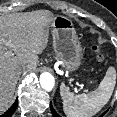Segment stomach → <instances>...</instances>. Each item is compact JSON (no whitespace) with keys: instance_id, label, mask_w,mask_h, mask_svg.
<instances>
[{"instance_id":"obj_1","label":"stomach","mask_w":117,"mask_h":117,"mask_svg":"<svg viewBox=\"0 0 117 117\" xmlns=\"http://www.w3.org/2000/svg\"><path fill=\"white\" fill-rule=\"evenodd\" d=\"M50 26L55 58L65 69L77 70L81 63L82 48L72 20L62 15H54Z\"/></svg>"}]
</instances>
